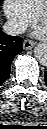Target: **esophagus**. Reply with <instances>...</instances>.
<instances>
[{
  "label": "esophagus",
  "instance_id": "esophagus-1",
  "mask_svg": "<svg viewBox=\"0 0 47 129\" xmlns=\"http://www.w3.org/2000/svg\"><path fill=\"white\" fill-rule=\"evenodd\" d=\"M34 45H35V43H34L33 41H31V40H25V41L23 42V48H24L25 50H30V49H32V48L34 47Z\"/></svg>",
  "mask_w": 47,
  "mask_h": 129
}]
</instances>
